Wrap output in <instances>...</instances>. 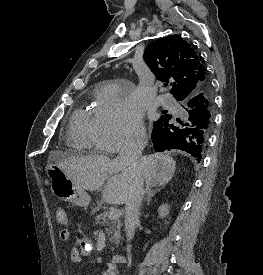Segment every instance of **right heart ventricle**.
Masks as SVG:
<instances>
[{"instance_id":"e07e8e85","label":"right heart ventricle","mask_w":263,"mask_h":275,"mask_svg":"<svg viewBox=\"0 0 263 275\" xmlns=\"http://www.w3.org/2000/svg\"><path fill=\"white\" fill-rule=\"evenodd\" d=\"M98 109L77 110L71 117L67 143L77 150L91 149L97 144L98 136Z\"/></svg>"}]
</instances>
